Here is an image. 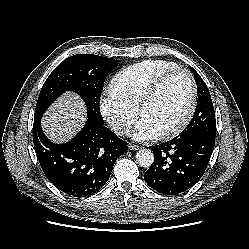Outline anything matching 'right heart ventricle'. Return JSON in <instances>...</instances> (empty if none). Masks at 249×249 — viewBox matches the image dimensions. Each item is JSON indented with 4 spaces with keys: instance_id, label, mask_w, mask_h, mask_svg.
<instances>
[{
    "instance_id": "e07e8e85",
    "label": "right heart ventricle",
    "mask_w": 249,
    "mask_h": 249,
    "mask_svg": "<svg viewBox=\"0 0 249 249\" xmlns=\"http://www.w3.org/2000/svg\"><path fill=\"white\" fill-rule=\"evenodd\" d=\"M177 66L174 62L161 59L140 61L117 72L111 80V90L137 109L141 97L151 83L162 73Z\"/></svg>"
}]
</instances>
